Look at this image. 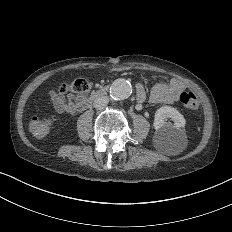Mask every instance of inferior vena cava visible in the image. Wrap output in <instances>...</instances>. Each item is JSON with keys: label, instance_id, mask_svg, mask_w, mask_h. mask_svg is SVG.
<instances>
[{"label": "inferior vena cava", "instance_id": "inferior-vena-cava-1", "mask_svg": "<svg viewBox=\"0 0 232 232\" xmlns=\"http://www.w3.org/2000/svg\"><path fill=\"white\" fill-rule=\"evenodd\" d=\"M96 102L101 107H105L109 103V98L107 96H100L97 98Z\"/></svg>", "mask_w": 232, "mask_h": 232}]
</instances>
